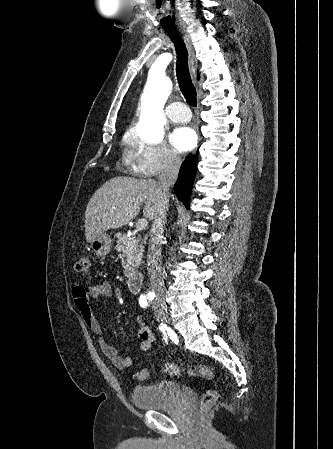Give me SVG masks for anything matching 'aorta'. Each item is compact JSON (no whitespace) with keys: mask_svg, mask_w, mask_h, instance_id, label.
Listing matches in <instances>:
<instances>
[{"mask_svg":"<svg viewBox=\"0 0 333 449\" xmlns=\"http://www.w3.org/2000/svg\"><path fill=\"white\" fill-rule=\"evenodd\" d=\"M172 82L162 68L153 65L141 98L139 136L149 142H160L164 136V107Z\"/></svg>","mask_w":333,"mask_h":449,"instance_id":"762f6f07","label":"aorta"}]
</instances>
